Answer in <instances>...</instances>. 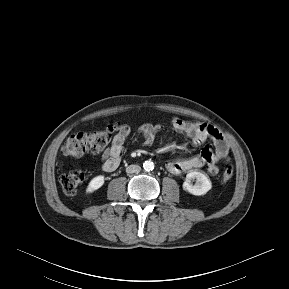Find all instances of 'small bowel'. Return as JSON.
<instances>
[{
	"instance_id": "c3829d8e",
	"label": "small bowel",
	"mask_w": 289,
	"mask_h": 289,
	"mask_svg": "<svg viewBox=\"0 0 289 289\" xmlns=\"http://www.w3.org/2000/svg\"><path fill=\"white\" fill-rule=\"evenodd\" d=\"M170 123L176 133L189 136L195 147L201 146L207 139L212 141V145L204 147L197 156H177L170 160L166 167L171 173L179 175L206 167L210 174L215 175L219 170L220 162H229L228 145L221 133L213 126L199 121L183 120L178 117L171 118ZM154 130L155 126L150 123L143 124L139 128V131L145 135L146 144L152 142ZM130 132L131 129L128 125L119 126L111 139L110 146L102 155L101 166L104 171L111 172L119 166L124 152V144Z\"/></svg>"
}]
</instances>
